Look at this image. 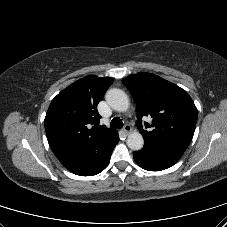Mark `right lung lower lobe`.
<instances>
[{"instance_id": "1", "label": "right lung lower lobe", "mask_w": 227, "mask_h": 227, "mask_svg": "<svg viewBox=\"0 0 227 227\" xmlns=\"http://www.w3.org/2000/svg\"><path fill=\"white\" fill-rule=\"evenodd\" d=\"M118 142L119 136L116 132L112 136L83 150L80 154L59 158V160L76 175H96L108 166L112 151Z\"/></svg>"}]
</instances>
